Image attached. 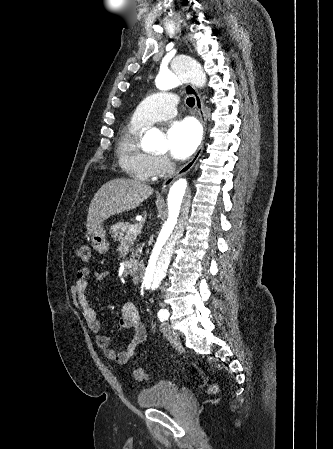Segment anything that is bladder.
I'll list each match as a JSON object with an SVG mask.
<instances>
[{
	"label": "bladder",
	"mask_w": 333,
	"mask_h": 449,
	"mask_svg": "<svg viewBox=\"0 0 333 449\" xmlns=\"http://www.w3.org/2000/svg\"><path fill=\"white\" fill-rule=\"evenodd\" d=\"M181 389L172 381H159L137 395V404L141 408H160L175 404L180 396Z\"/></svg>",
	"instance_id": "31cf9c89"
}]
</instances>
